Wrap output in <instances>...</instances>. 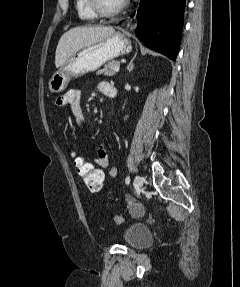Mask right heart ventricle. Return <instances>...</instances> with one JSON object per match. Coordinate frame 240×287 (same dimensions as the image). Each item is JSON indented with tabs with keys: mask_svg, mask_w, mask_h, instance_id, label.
Returning <instances> with one entry per match:
<instances>
[{
	"mask_svg": "<svg viewBox=\"0 0 240 287\" xmlns=\"http://www.w3.org/2000/svg\"><path fill=\"white\" fill-rule=\"evenodd\" d=\"M75 9L78 17L83 21H91L97 18L90 6L89 0H75Z\"/></svg>",
	"mask_w": 240,
	"mask_h": 287,
	"instance_id": "1",
	"label": "right heart ventricle"
}]
</instances>
